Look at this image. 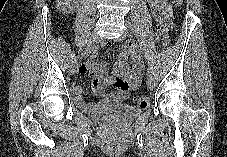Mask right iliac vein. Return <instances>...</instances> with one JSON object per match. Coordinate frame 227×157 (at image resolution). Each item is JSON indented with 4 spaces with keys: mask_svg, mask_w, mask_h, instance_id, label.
Here are the masks:
<instances>
[{
    "mask_svg": "<svg viewBox=\"0 0 227 157\" xmlns=\"http://www.w3.org/2000/svg\"><path fill=\"white\" fill-rule=\"evenodd\" d=\"M99 40V36L96 32H93L91 35H90V38L88 40V43L86 45V48H90L91 45H95V43H97V41ZM76 69H77V59L74 60V62L72 63L71 65V70H72V73H76Z\"/></svg>",
    "mask_w": 227,
    "mask_h": 157,
    "instance_id": "right-iliac-vein-1",
    "label": "right iliac vein"
}]
</instances>
